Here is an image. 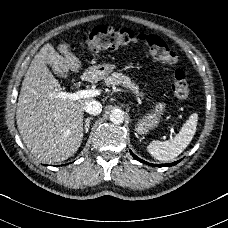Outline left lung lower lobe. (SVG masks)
Segmentation results:
<instances>
[{
  "mask_svg": "<svg viewBox=\"0 0 228 228\" xmlns=\"http://www.w3.org/2000/svg\"><path fill=\"white\" fill-rule=\"evenodd\" d=\"M130 153L131 155L138 161L142 162V163H145L147 165H151V166H156V167H170V166H174L176 165L177 163H179L181 160L177 161V162H173V163H169V164H151V163H148L144 160H141L140 158H138L131 150H130Z\"/></svg>",
  "mask_w": 228,
  "mask_h": 228,
  "instance_id": "1",
  "label": "left lung lower lobe"
}]
</instances>
